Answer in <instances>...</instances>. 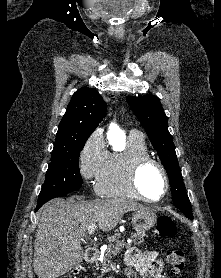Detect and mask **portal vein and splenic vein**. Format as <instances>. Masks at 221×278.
<instances>
[{"label": "portal vein and splenic vein", "mask_w": 221, "mask_h": 278, "mask_svg": "<svg viewBox=\"0 0 221 278\" xmlns=\"http://www.w3.org/2000/svg\"><path fill=\"white\" fill-rule=\"evenodd\" d=\"M96 228H97L96 223H92V224L89 226V228H88V234H89L90 236L94 235V232H95V229H96ZM120 244L125 245V242H124V241H120Z\"/></svg>", "instance_id": "18ae733b"}]
</instances>
